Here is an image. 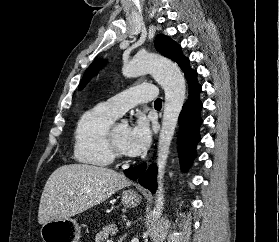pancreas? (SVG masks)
I'll list each match as a JSON object with an SVG mask.
<instances>
[{
	"label": "pancreas",
	"mask_w": 279,
	"mask_h": 242,
	"mask_svg": "<svg viewBox=\"0 0 279 242\" xmlns=\"http://www.w3.org/2000/svg\"><path fill=\"white\" fill-rule=\"evenodd\" d=\"M117 231L118 227L115 224H109L96 234L95 242H105L110 236L115 235Z\"/></svg>",
	"instance_id": "cf45deb5"
}]
</instances>
